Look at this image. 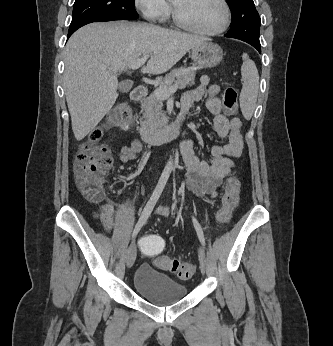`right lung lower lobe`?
<instances>
[{"label":"right lung lower lobe","mask_w":333,"mask_h":346,"mask_svg":"<svg viewBox=\"0 0 333 346\" xmlns=\"http://www.w3.org/2000/svg\"><path fill=\"white\" fill-rule=\"evenodd\" d=\"M75 31L68 32V37L67 39L74 33Z\"/></svg>","instance_id":"1"}]
</instances>
